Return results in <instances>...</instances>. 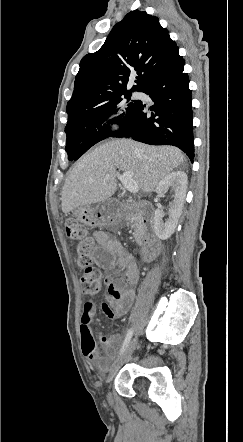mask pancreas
Listing matches in <instances>:
<instances>
[{"instance_id":"pancreas-1","label":"pancreas","mask_w":243,"mask_h":442,"mask_svg":"<svg viewBox=\"0 0 243 442\" xmlns=\"http://www.w3.org/2000/svg\"><path fill=\"white\" fill-rule=\"evenodd\" d=\"M126 222L128 225H131V228L134 230L133 235L137 243H140L142 240V226L139 218L133 213H128L126 216Z\"/></svg>"}]
</instances>
